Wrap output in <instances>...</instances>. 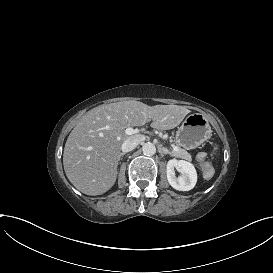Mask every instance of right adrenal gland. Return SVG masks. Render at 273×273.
<instances>
[{
	"label": "right adrenal gland",
	"mask_w": 273,
	"mask_h": 273,
	"mask_svg": "<svg viewBox=\"0 0 273 273\" xmlns=\"http://www.w3.org/2000/svg\"><path fill=\"white\" fill-rule=\"evenodd\" d=\"M125 155V153H121V156H124Z\"/></svg>",
	"instance_id": "right-adrenal-gland-1"
}]
</instances>
